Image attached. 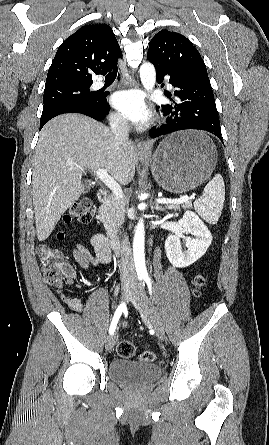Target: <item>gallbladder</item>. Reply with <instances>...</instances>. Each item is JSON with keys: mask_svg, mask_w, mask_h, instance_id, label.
<instances>
[{"mask_svg": "<svg viewBox=\"0 0 269 445\" xmlns=\"http://www.w3.org/2000/svg\"><path fill=\"white\" fill-rule=\"evenodd\" d=\"M90 188H91V184H89V183L85 184L84 192L87 193L90 190Z\"/></svg>", "mask_w": 269, "mask_h": 445, "instance_id": "bac80fb5", "label": "gallbladder"}]
</instances>
